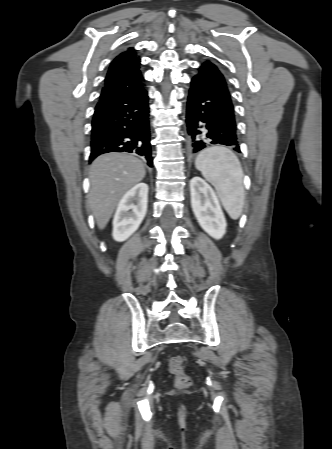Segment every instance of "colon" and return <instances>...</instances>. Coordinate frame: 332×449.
I'll return each mask as SVG.
<instances>
[{
	"instance_id": "5ec220e1",
	"label": "colon",
	"mask_w": 332,
	"mask_h": 449,
	"mask_svg": "<svg viewBox=\"0 0 332 449\" xmlns=\"http://www.w3.org/2000/svg\"><path fill=\"white\" fill-rule=\"evenodd\" d=\"M169 370L176 376L179 387H187L191 383L190 377L184 371V358L174 356L169 361Z\"/></svg>"
}]
</instances>
